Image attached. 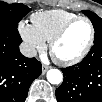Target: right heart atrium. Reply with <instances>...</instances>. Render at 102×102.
I'll return each mask as SVG.
<instances>
[{
    "label": "right heart atrium",
    "mask_w": 102,
    "mask_h": 102,
    "mask_svg": "<svg viewBox=\"0 0 102 102\" xmlns=\"http://www.w3.org/2000/svg\"><path fill=\"white\" fill-rule=\"evenodd\" d=\"M19 32L27 45V52L30 55L36 52H43L46 49V41L36 32L31 24L21 22L19 24Z\"/></svg>",
    "instance_id": "right-heart-atrium-1"
}]
</instances>
